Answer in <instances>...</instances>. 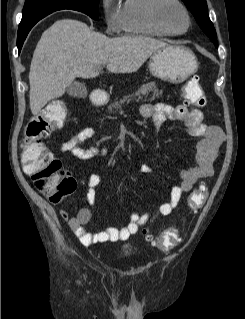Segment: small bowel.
I'll list each match as a JSON object with an SVG mask.
<instances>
[{
  "label": "small bowel",
  "mask_w": 245,
  "mask_h": 319,
  "mask_svg": "<svg viewBox=\"0 0 245 319\" xmlns=\"http://www.w3.org/2000/svg\"><path fill=\"white\" fill-rule=\"evenodd\" d=\"M140 114L143 118L152 119L156 127H160L167 120L180 122L190 137L199 139L196 146V163L182 170L180 184L172 187L169 200L162 203L156 213L139 214L132 212L125 227H110L97 233H90L85 228L91 218L90 209L83 208L73 217H70L66 210H61V218L68 222L70 229L85 246L94 243L127 240L130 236L136 234L141 227L152 223L157 217L171 214L178 206L184 193L190 192L199 180L213 173V163L218 148L224 139V134L220 128L204 124L203 113L199 109L190 108L186 105L144 104L140 108ZM95 136L94 129L84 128L63 142L60 150L69 152L83 160L103 155L107 152L105 147L95 146L89 149L82 147L83 143L95 138ZM148 170L146 169V171ZM101 183L102 176L100 174L94 173L87 178L86 197L91 205L96 200L95 188Z\"/></svg>",
  "instance_id": "c3829d8e"
}]
</instances>
